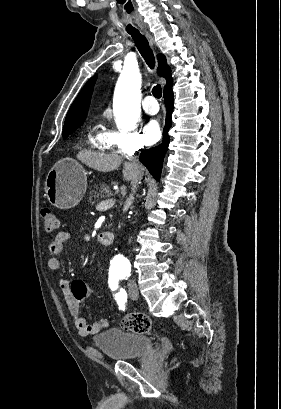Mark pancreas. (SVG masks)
<instances>
[{
    "instance_id": "1",
    "label": "pancreas",
    "mask_w": 281,
    "mask_h": 409,
    "mask_svg": "<svg viewBox=\"0 0 281 409\" xmlns=\"http://www.w3.org/2000/svg\"><path fill=\"white\" fill-rule=\"evenodd\" d=\"M109 193L113 192L110 190L107 184H99V186H97V190H90L89 200H91V198H102V196H108Z\"/></svg>"
}]
</instances>
